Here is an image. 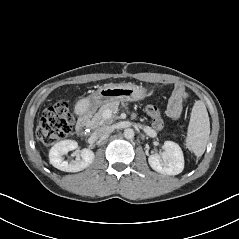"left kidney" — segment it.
Masks as SVG:
<instances>
[{"label": "left kidney", "mask_w": 239, "mask_h": 239, "mask_svg": "<svg viewBox=\"0 0 239 239\" xmlns=\"http://www.w3.org/2000/svg\"><path fill=\"white\" fill-rule=\"evenodd\" d=\"M164 152L148 158L151 168L161 174L177 175L184 169V156L180 146L172 141H165Z\"/></svg>", "instance_id": "obj_1"}]
</instances>
